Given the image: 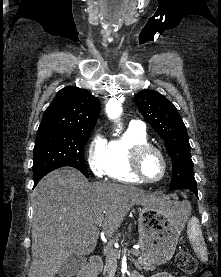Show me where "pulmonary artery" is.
Instances as JSON below:
<instances>
[{
	"instance_id": "e3ab8cb5",
	"label": "pulmonary artery",
	"mask_w": 221,
	"mask_h": 277,
	"mask_svg": "<svg viewBox=\"0 0 221 277\" xmlns=\"http://www.w3.org/2000/svg\"><path fill=\"white\" fill-rule=\"evenodd\" d=\"M129 126L137 128V129L145 130V124L142 121H140V120H132L130 122Z\"/></svg>"
}]
</instances>
